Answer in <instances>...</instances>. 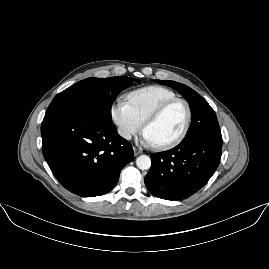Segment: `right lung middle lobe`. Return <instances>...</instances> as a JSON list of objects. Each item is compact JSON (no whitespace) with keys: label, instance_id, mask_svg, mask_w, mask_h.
I'll list each match as a JSON object with an SVG mask.
<instances>
[{"label":"right lung middle lobe","instance_id":"dd1d6c3e","mask_svg":"<svg viewBox=\"0 0 269 269\" xmlns=\"http://www.w3.org/2000/svg\"><path fill=\"white\" fill-rule=\"evenodd\" d=\"M133 80L126 76L87 78L57 94L51 104L59 103L83 109L111 122L113 101Z\"/></svg>","mask_w":269,"mask_h":269}]
</instances>
